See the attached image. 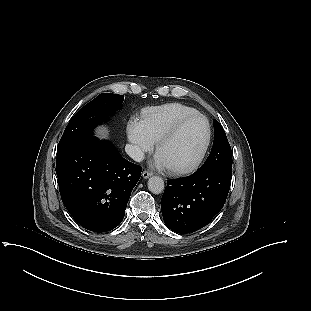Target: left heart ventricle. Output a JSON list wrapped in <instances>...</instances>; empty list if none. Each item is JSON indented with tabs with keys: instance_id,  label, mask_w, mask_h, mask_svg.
I'll list each match as a JSON object with an SVG mask.
<instances>
[{
	"instance_id": "left-heart-ventricle-1",
	"label": "left heart ventricle",
	"mask_w": 311,
	"mask_h": 311,
	"mask_svg": "<svg viewBox=\"0 0 311 311\" xmlns=\"http://www.w3.org/2000/svg\"><path fill=\"white\" fill-rule=\"evenodd\" d=\"M206 138V126L201 118L186 122L179 132L163 144L158 152L166 166H183L199 154Z\"/></svg>"
}]
</instances>
